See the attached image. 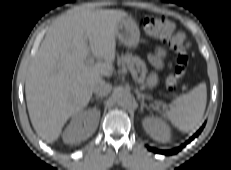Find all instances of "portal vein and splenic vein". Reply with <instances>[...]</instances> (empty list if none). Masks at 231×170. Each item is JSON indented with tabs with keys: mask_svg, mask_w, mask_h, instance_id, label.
I'll use <instances>...</instances> for the list:
<instances>
[{
	"mask_svg": "<svg viewBox=\"0 0 231 170\" xmlns=\"http://www.w3.org/2000/svg\"><path fill=\"white\" fill-rule=\"evenodd\" d=\"M86 62H87L88 64H93V63H94V58H93V57H89V58L86 60ZM130 71H131L132 75H133L134 77H136V71H135L134 69H130Z\"/></svg>",
	"mask_w": 231,
	"mask_h": 170,
	"instance_id": "18ae733b",
	"label": "portal vein and splenic vein"
}]
</instances>
